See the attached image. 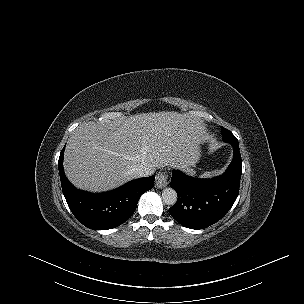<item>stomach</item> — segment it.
Here are the masks:
<instances>
[{"label": "stomach", "instance_id": "0dacf381", "mask_svg": "<svg viewBox=\"0 0 304 304\" xmlns=\"http://www.w3.org/2000/svg\"><path fill=\"white\" fill-rule=\"evenodd\" d=\"M186 169H187V171H188L189 173H191V174L194 173L193 169H191L190 166H188Z\"/></svg>", "mask_w": 304, "mask_h": 304}]
</instances>
